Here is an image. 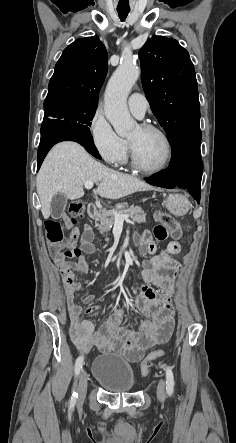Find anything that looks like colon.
<instances>
[{
    "label": "colon",
    "instance_id": "obj_1",
    "mask_svg": "<svg viewBox=\"0 0 236 443\" xmlns=\"http://www.w3.org/2000/svg\"><path fill=\"white\" fill-rule=\"evenodd\" d=\"M67 214L71 224H76L77 219L83 217L84 207L79 202H71L67 207ZM155 218L159 225L154 230V235L158 240H164L171 237L174 241H179L183 237V230L180 223L171 215L158 211ZM47 238L49 241V249L53 258L57 262H63L67 258L78 257L81 255V250L77 247L71 246L63 250L62 243L65 239V227L59 221L46 222ZM78 234L72 232L70 240H76ZM166 350L158 349L148 353L145 356H140L137 353L130 355V358L141 361L140 371L143 376L148 374L152 362L166 354Z\"/></svg>",
    "mask_w": 236,
    "mask_h": 443
}]
</instances>
